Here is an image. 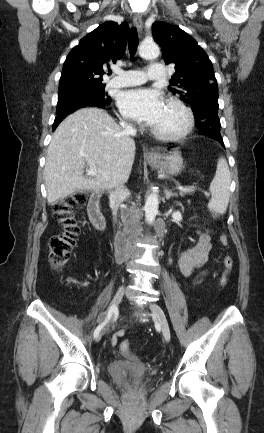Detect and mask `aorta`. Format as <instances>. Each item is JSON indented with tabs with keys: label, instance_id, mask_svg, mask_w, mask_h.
Here are the masks:
<instances>
[{
	"label": "aorta",
	"instance_id": "aorta-1",
	"mask_svg": "<svg viewBox=\"0 0 264 433\" xmlns=\"http://www.w3.org/2000/svg\"><path fill=\"white\" fill-rule=\"evenodd\" d=\"M139 54L145 59L157 58L160 54L159 47L156 43L143 42L139 48ZM159 199L156 192L151 193L145 202V219L149 225H153L158 214Z\"/></svg>",
	"mask_w": 264,
	"mask_h": 433
}]
</instances>
